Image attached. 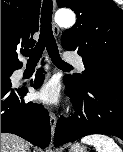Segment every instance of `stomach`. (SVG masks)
<instances>
[{
  "label": "stomach",
  "mask_w": 123,
  "mask_h": 152,
  "mask_svg": "<svg viewBox=\"0 0 123 152\" xmlns=\"http://www.w3.org/2000/svg\"><path fill=\"white\" fill-rule=\"evenodd\" d=\"M70 152H87L86 148L79 143L73 144L70 147Z\"/></svg>",
  "instance_id": "1"
}]
</instances>
